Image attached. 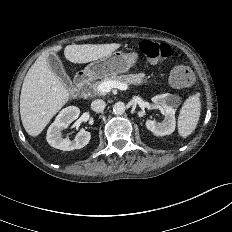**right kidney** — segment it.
<instances>
[{"instance_id": "1", "label": "right kidney", "mask_w": 232, "mask_h": 232, "mask_svg": "<svg viewBox=\"0 0 232 232\" xmlns=\"http://www.w3.org/2000/svg\"><path fill=\"white\" fill-rule=\"evenodd\" d=\"M79 114L80 110L75 106H69L61 110L47 131L46 139L50 146L63 151H71L74 149H81L89 143L91 134L84 129L78 132L73 141L63 138L61 135V131L76 120Z\"/></svg>"}]
</instances>
